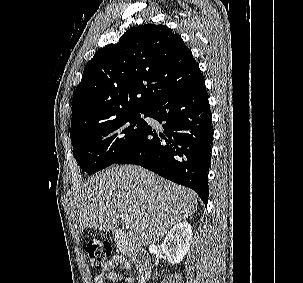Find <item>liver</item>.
<instances>
[{"label":"liver","instance_id":"1","mask_svg":"<svg viewBox=\"0 0 303 283\" xmlns=\"http://www.w3.org/2000/svg\"><path fill=\"white\" fill-rule=\"evenodd\" d=\"M194 191L135 165H114L89 177L78 195L76 231H113L119 218H132L129 240L138 247L158 241L193 215Z\"/></svg>","mask_w":303,"mask_h":283}]
</instances>
